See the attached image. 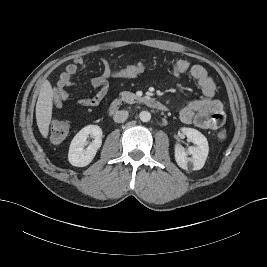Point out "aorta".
<instances>
[{"mask_svg":"<svg viewBox=\"0 0 267 267\" xmlns=\"http://www.w3.org/2000/svg\"><path fill=\"white\" fill-rule=\"evenodd\" d=\"M139 118L142 122H149L151 119V114L148 111H141L139 114Z\"/></svg>","mask_w":267,"mask_h":267,"instance_id":"aorta-1","label":"aorta"}]
</instances>
